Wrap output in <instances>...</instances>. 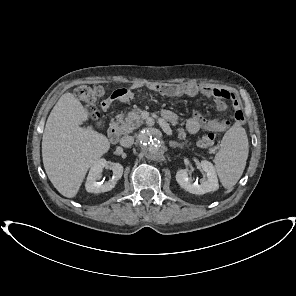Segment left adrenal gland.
I'll use <instances>...</instances> for the list:
<instances>
[{
  "mask_svg": "<svg viewBox=\"0 0 296 296\" xmlns=\"http://www.w3.org/2000/svg\"><path fill=\"white\" fill-rule=\"evenodd\" d=\"M169 146L172 147V148H176V147L183 148V145H182V144L177 143V142H175V141H170V142H169Z\"/></svg>",
  "mask_w": 296,
  "mask_h": 296,
  "instance_id": "a2214340",
  "label": "left adrenal gland"
}]
</instances>
